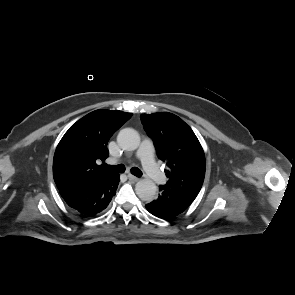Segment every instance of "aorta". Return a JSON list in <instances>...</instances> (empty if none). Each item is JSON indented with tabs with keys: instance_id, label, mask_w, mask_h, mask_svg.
Returning a JSON list of instances; mask_svg holds the SVG:
<instances>
[{
	"instance_id": "obj_1",
	"label": "aorta",
	"mask_w": 295,
	"mask_h": 295,
	"mask_svg": "<svg viewBox=\"0 0 295 295\" xmlns=\"http://www.w3.org/2000/svg\"><path fill=\"white\" fill-rule=\"evenodd\" d=\"M117 143L123 150L133 151L140 145V136L132 128L122 129L117 136ZM138 197L146 202H151L156 198L157 186L150 179H141L135 185Z\"/></svg>"
}]
</instances>
